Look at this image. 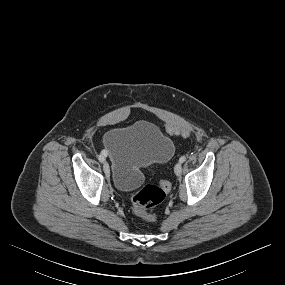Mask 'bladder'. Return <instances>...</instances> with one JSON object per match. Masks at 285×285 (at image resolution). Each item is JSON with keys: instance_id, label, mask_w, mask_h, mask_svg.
<instances>
[{"instance_id": "obj_1", "label": "bladder", "mask_w": 285, "mask_h": 285, "mask_svg": "<svg viewBox=\"0 0 285 285\" xmlns=\"http://www.w3.org/2000/svg\"><path fill=\"white\" fill-rule=\"evenodd\" d=\"M103 145L110 160L113 184L124 193L142 184L145 167L165 162L174 153L172 141L149 121L109 130Z\"/></svg>"}]
</instances>
